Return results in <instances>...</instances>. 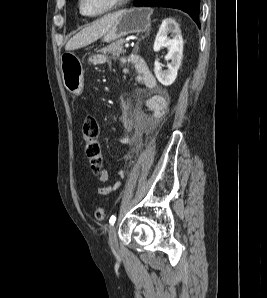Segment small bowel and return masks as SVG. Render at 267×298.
Wrapping results in <instances>:
<instances>
[{
  "instance_id": "c3829d8e",
  "label": "small bowel",
  "mask_w": 267,
  "mask_h": 298,
  "mask_svg": "<svg viewBox=\"0 0 267 298\" xmlns=\"http://www.w3.org/2000/svg\"><path fill=\"white\" fill-rule=\"evenodd\" d=\"M90 63L93 66H102L108 65L109 61L106 56L98 54L90 58ZM121 64L125 73H130L127 64H132L138 74L136 80L146 88L155 91V93L146 101V108L149 111V115L144 119L142 132L148 134L165 114L167 109L166 99L158 90L157 82L142 58L137 55H130L127 58H123ZM94 173L101 182V186L97 190L98 195L106 196L119 188L120 182H117L114 185L108 183L109 173L107 170L100 169Z\"/></svg>"
}]
</instances>
